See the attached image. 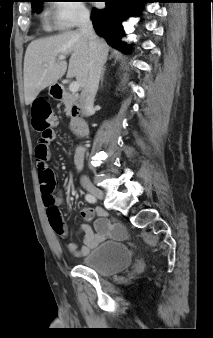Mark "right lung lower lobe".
Wrapping results in <instances>:
<instances>
[{
  "label": "right lung lower lobe",
  "mask_w": 213,
  "mask_h": 338,
  "mask_svg": "<svg viewBox=\"0 0 213 338\" xmlns=\"http://www.w3.org/2000/svg\"><path fill=\"white\" fill-rule=\"evenodd\" d=\"M147 0H104V9L94 8L91 14L95 31L104 37L109 45L123 52H128L126 44L121 41L123 34L122 21L133 14H138L140 3Z\"/></svg>",
  "instance_id": "right-lung-lower-lobe-1"
}]
</instances>
